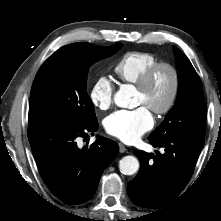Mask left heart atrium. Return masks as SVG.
<instances>
[{
	"instance_id": "1",
	"label": "left heart atrium",
	"mask_w": 221,
	"mask_h": 221,
	"mask_svg": "<svg viewBox=\"0 0 221 221\" xmlns=\"http://www.w3.org/2000/svg\"><path fill=\"white\" fill-rule=\"evenodd\" d=\"M150 110L142 105L132 110H118L106 117V131L127 143L138 140L153 126Z\"/></svg>"
}]
</instances>
